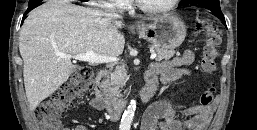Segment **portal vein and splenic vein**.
<instances>
[{
  "label": "portal vein and splenic vein",
  "mask_w": 257,
  "mask_h": 130,
  "mask_svg": "<svg viewBox=\"0 0 257 130\" xmlns=\"http://www.w3.org/2000/svg\"><path fill=\"white\" fill-rule=\"evenodd\" d=\"M56 55L60 58H69V59L73 58L75 60L85 61L92 64L108 63V62H114L118 60V58L112 57V56L97 55L93 51H90L84 54H77V55H68L63 53H56ZM156 57H157V54L154 51H152L150 59L153 60Z\"/></svg>",
  "instance_id": "1"
}]
</instances>
